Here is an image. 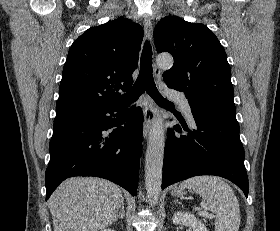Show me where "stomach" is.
I'll return each instance as SVG.
<instances>
[{
  "label": "stomach",
  "instance_id": "obj_1",
  "mask_svg": "<svg viewBox=\"0 0 280 231\" xmlns=\"http://www.w3.org/2000/svg\"><path fill=\"white\" fill-rule=\"evenodd\" d=\"M172 195H177V197H181V195H184V193H186V191H184V189H181V187H176V189H173V191H171Z\"/></svg>",
  "mask_w": 280,
  "mask_h": 231
}]
</instances>
